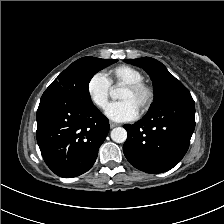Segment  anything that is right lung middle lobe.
I'll return each instance as SVG.
<instances>
[{
  "label": "right lung middle lobe",
  "instance_id": "dd1d6c3e",
  "mask_svg": "<svg viewBox=\"0 0 224 224\" xmlns=\"http://www.w3.org/2000/svg\"><path fill=\"white\" fill-rule=\"evenodd\" d=\"M115 59L83 57L68 66L47 88V92H58L91 102L89 82L103 68L117 62Z\"/></svg>",
  "mask_w": 224,
  "mask_h": 224
}]
</instances>
